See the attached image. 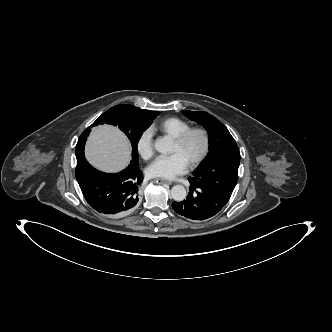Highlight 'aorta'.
<instances>
[{"label":"aorta","instance_id":"762f6f07","mask_svg":"<svg viewBox=\"0 0 332 332\" xmlns=\"http://www.w3.org/2000/svg\"><path fill=\"white\" fill-rule=\"evenodd\" d=\"M155 149L160 153H166L169 149V142L165 139H159L155 142ZM186 189L182 185H175L171 189V197L177 201L181 202L186 198Z\"/></svg>","mask_w":332,"mask_h":332}]
</instances>
